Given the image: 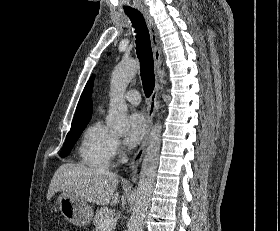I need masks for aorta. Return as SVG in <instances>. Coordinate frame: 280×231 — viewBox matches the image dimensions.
<instances>
[{
	"label": "aorta",
	"instance_id": "aorta-1",
	"mask_svg": "<svg viewBox=\"0 0 280 231\" xmlns=\"http://www.w3.org/2000/svg\"><path fill=\"white\" fill-rule=\"evenodd\" d=\"M138 70L139 62L127 60V62L117 64L111 74L110 108L106 123L111 129H114L117 135L126 133L130 129L128 108L123 96L129 82L137 74ZM161 129L162 125L158 121L150 133L139 175L135 203L128 223V231H143L144 219L151 203L154 181L157 175Z\"/></svg>",
	"mask_w": 280,
	"mask_h": 231
}]
</instances>
